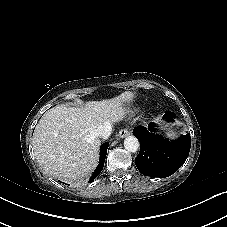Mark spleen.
I'll list each match as a JSON object with an SVG mask.
<instances>
[{
	"label": "spleen",
	"mask_w": 227,
	"mask_h": 227,
	"mask_svg": "<svg viewBox=\"0 0 227 227\" xmlns=\"http://www.w3.org/2000/svg\"><path fill=\"white\" fill-rule=\"evenodd\" d=\"M167 136L169 138H174L176 136V132H174V131L171 130V131L167 132Z\"/></svg>",
	"instance_id": "1"
}]
</instances>
